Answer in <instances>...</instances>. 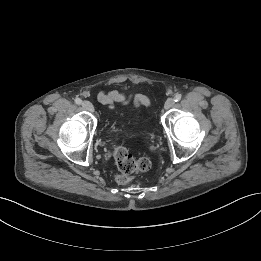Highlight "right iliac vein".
<instances>
[{"mask_svg": "<svg viewBox=\"0 0 261 261\" xmlns=\"http://www.w3.org/2000/svg\"><path fill=\"white\" fill-rule=\"evenodd\" d=\"M82 107L85 110L89 111V112H93L94 111V106H93V104L90 101H86V100L83 101L82 102Z\"/></svg>", "mask_w": 261, "mask_h": 261, "instance_id": "right-iliac-vein-1", "label": "right iliac vein"}]
</instances>
